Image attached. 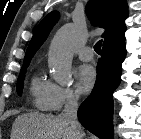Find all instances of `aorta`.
Instances as JSON below:
<instances>
[{
  "label": "aorta",
  "mask_w": 141,
  "mask_h": 139,
  "mask_svg": "<svg viewBox=\"0 0 141 139\" xmlns=\"http://www.w3.org/2000/svg\"><path fill=\"white\" fill-rule=\"evenodd\" d=\"M78 34L73 24L62 26L51 41L48 64L53 77L59 84L66 85L72 81L71 65Z\"/></svg>",
  "instance_id": "aorta-1"
}]
</instances>
